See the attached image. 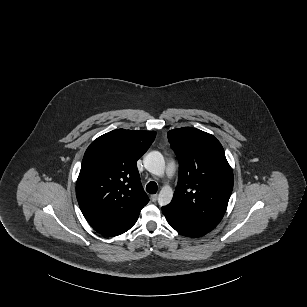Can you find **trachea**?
<instances>
[{"mask_svg": "<svg viewBox=\"0 0 307 307\" xmlns=\"http://www.w3.org/2000/svg\"><path fill=\"white\" fill-rule=\"evenodd\" d=\"M146 191L150 194H155L157 192V184L154 181L149 182L146 185Z\"/></svg>", "mask_w": 307, "mask_h": 307, "instance_id": "1", "label": "trachea"}]
</instances>
